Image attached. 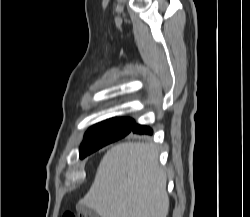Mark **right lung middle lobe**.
Returning a JSON list of instances; mask_svg holds the SVG:
<instances>
[{
  "instance_id": "right-lung-middle-lobe-1",
  "label": "right lung middle lobe",
  "mask_w": 250,
  "mask_h": 217,
  "mask_svg": "<svg viewBox=\"0 0 250 217\" xmlns=\"http://www.w3.org/2000/svg\"><path fill=\"white\" fill-rule=\"evenodd\" d=\"M134 126L135 121L131 118H112L92 126L85 133L80 147V158L127 136Z\"/></svg>"
}]
</instances>
